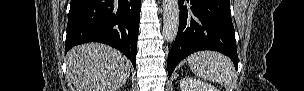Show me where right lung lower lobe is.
<instances>
[{
  "instance_id": "obj_1",
  "label": "right lung lower lobe",
  "mask_w": 304,
  "mask_h": 91,
  "mask_svg": "<svg viewBox=\"0 0 304 91\" xmlns=\"http://www.w3.org/2000/svg\"><path fill=\"white\" fill-rule=\"evenodd\" d=\"M141 0H72L65 53L75 45L100 42L127 56L136 67Z\"/></svg>"
}]
</instances>
